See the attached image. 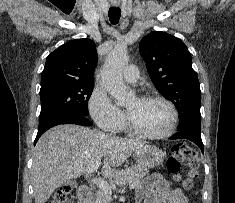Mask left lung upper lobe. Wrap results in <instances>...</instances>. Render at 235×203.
I'll use <instances>...</instances> for the list:
<instances>
[{"mask_svg": "<svg viewBox=\"0 0 235 203\" xmlns=\"http://www.w3.org/2000/svg\"><path fill=\"white\" fill-rule=\"evenodd\" d=\"M139 49L153 84L177 108L179 128L201 127V91L185 44L168 33L154 31L140 41Z\"/></svg>", "mask_w": 235, "mask_h": 203, "instance_id": "left-lung-upper-lobe-1", "label": "left lung upper lobe"}]
</instances>
